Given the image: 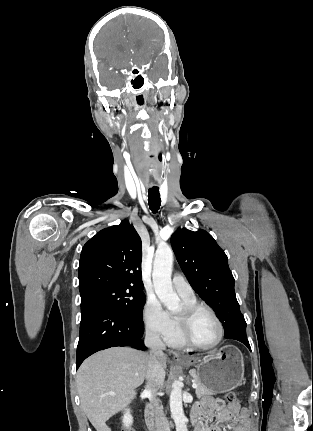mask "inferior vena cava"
<instances>
[{
  "label": "inferior vena cava",
  "mask_w": 313,
  "mask_h": 431,
  "mask_svg": "<svg viewBox=\"0 0 313 431\" xmlns=\"http://www.w3.org/2000/svg\"><path fill=\"white\" fill-rule=\"evenodd\" d=\"M145 345L150 349V362L146 375V390L152 394L150 406L156 416L157 431H170L168 421L163 413V407L159 405L156 392L163 386L165 370L161 363L164 356L165 344L160 339L159 334L151 329L146 330Z\"/></svg>",
  "instance_id": "obj_1"
}]
</instances>
